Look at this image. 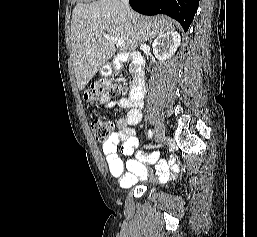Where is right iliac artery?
<instances>
[{
	"label": "right iliac artery",
	"mask_w": 257,
	"mask_h": 237,
	"mask_svg": "<svg viewBox=\"0 0 257 237\" xmlns=\"http://www.w3.org/2000/svg\"><path fill=\"white\" fill-rule=\"evenodd\" d=\"M152 136H153V132H152V130H149V131H148V138L151 139Z\"/></svg>",
	"instance_id": "1"
}]
</instances>
